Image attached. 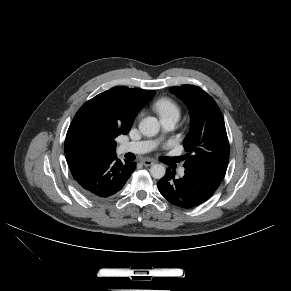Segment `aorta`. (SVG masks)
<instances>
[{
  "instance_id": "obj_1",
  "label": "aorta",
  "mask_w": 291,
  "mask_h": 291,
  "mask_svg": "<svg viewBox=\"0 0 291 291\" xmlns=\"http://www.w3.org/2000/svg\"><path fill=\"white\" fill-rule=\"evenodd\" d=\"M140 132L147 137L155 136L160 130V124L155 117H146L139 123ZM166 169L162 164H154L150 168V174L155 179H161L165 176Z\"/></svg>"
}]
</instances>
